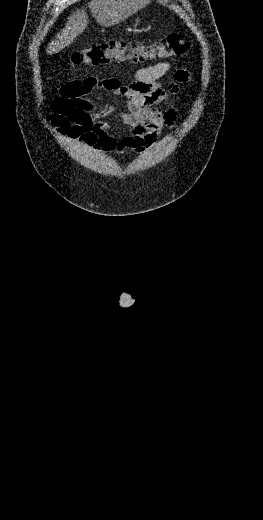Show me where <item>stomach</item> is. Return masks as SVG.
Masks as SVG:
<instances>
[{
	"label": "stomach",
	"instance_id": "0dacf381",
	"mask_svg": "<svg viewBox=\"0 0 263 520\" xmlns=\"http://www.w3.org/2000/svg\"><path fill=\"white\" fill-rule=\"evenodd\" d=\"M138 22H139V18L136 19V25H137Z\"/></svg>",
	"mask_w": 263,
	"mask_h": 520
}]
</instances>
